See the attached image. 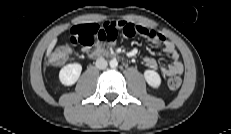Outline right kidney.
I'll return each mask as SVG.
<instances>
[{"instance_id": "obj_1", "label": "right kidney", "mask_w": 231, "mask_h": 134, "mask_svg": "<svg viewBox=\"0 0 231 134\" xmlns=\"http://www.w3.org/2000/svg\"><path fill=\"white\" fill-rule=\"evenodd\" d=\"M82 66L79 63H72L64 66L59 73V79L63 85L71 86L79 79Z\"/></svg>"}]
</instances>
